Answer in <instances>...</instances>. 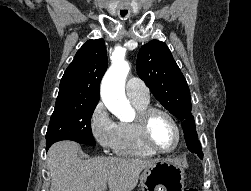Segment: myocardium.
Instances as JSON below:
<instances>
[{
  "mask_svg": "<svg viewBox=\"0 0 251 191\" xmlns=\"http://www.w3.org/2000/svg\"><path fill=\"white\" fill-rule=\"evenodd\" d=\"M156 114H163L167 116L173 122L177 130L179 140H178V145L173 151H170V152L160 151L152 142L151 135H150V126ZM136 123L138 125L139 132H140V135L144 144L156 155L169 156V155L176 154L182 148L184 144V133L177 118L170 111L166 109L150 106L148 108L139 110Z\"/></svg>",
  "mask_w": 251,
  "mask_h": 191,
  "instance_id": "f54148a6",
  "label": "myocardium"
}]
</instances>
